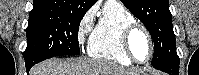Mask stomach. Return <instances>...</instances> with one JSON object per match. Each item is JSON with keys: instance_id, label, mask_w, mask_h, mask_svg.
<instances>
[{"instance_id": "stomach-1", "label": "stomach", "mask_w": 199, "mask_h": 75, "mask_svg": "<svg viewBox=\"0 0 199 75\" xmlns=\"http://www.w3.org/2000/svg\"><path fill=\"white\" fill-rule=\"evenodd\" d=\"M139 75H149V74L143 72L142 74H139Z\"/></svg>"}]
</instances>
